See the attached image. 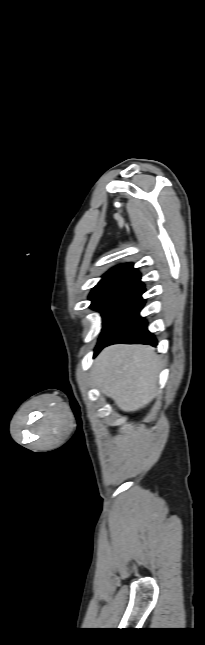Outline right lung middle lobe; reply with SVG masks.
<instances>
[{
    "instance_id": "right-lung-middle-lobe-1",
    "label": "right lung middle lobe",
    "mask_w": 205,
    "mask_h": 645,
    "mask_svg": "<svg viewBox=\"0 0 205 645\" xmlns=\"http://www.w3.org/2000/svg\"><path fill=\"white\" fill-rule=\"evenodd\" d=\"M143 292L122 291L91 304L90 307L101 312L103 318L102 334L96 350L138 315L145 303V300L141 297Z\"/></svg>"
}]
</instances>
